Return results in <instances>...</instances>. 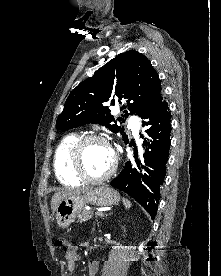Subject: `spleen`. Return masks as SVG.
Masks as SVG:
<instances>
[{
	"instance_id": "1",
	"label": "spleen",
	"mask_w": 221,
	"mask_h": 276,
	"mask_svg": "<svg viewBox=\"0 0 221 276\" xmlns=\"http://www.w3.org/2000/svg\"><path fill=\"white\" fill-rule=\"evenodd\" d=\"M123 203L126 209H129L131 207V202L125 198H123Z\"/></svg>"
}]
</instances>
